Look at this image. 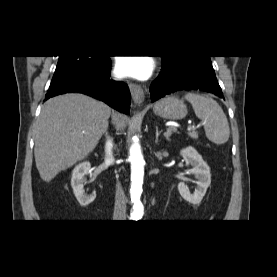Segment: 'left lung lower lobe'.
<instances>
[{
    "instance_id": "1",
    "label": "left lung lower lobe",
    "mask_w": 277,
    "mask_h": 277,
    "mask_svg": "<svg viewBox=\"0 0 277 277\" xmlns=\"http://www.w3.org/2000/svg\"><path fill=\"white\" fill-rule=\"evenodd\" d=\"M179 90H201L223 98L212 66L190 65L184 68L163 66L150 87L152 102Z\"/></svg>"
}]
</instances>
